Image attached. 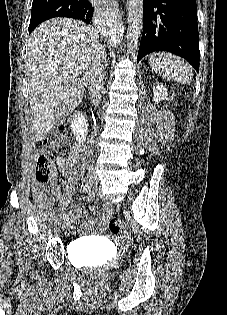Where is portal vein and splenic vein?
<instances>
[{
  "mask_svg": "<svg viewBox=\"0 0 227 315\" xmlns=\"http://www.w3.org/2000/svg\"><path fill=\"white\" fill-rule=\"evenodd\" d=\"M80 70H81L80 68L72 67V69L70 71L72 72V71H80Z\"/></svg>",
  "mask_w": 227,
  "mask_h": 315,
  "instance_id": "portal-vein-and-splenic-vein-1",
  "label": "portal vein and splenic vein"
}]
</instances>
